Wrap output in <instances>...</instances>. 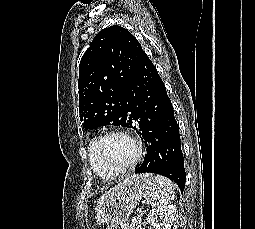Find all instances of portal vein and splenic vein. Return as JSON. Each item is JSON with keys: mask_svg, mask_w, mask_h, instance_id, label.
<instances>
[{"mask_svg": "<svg viewBox=\"0 0 255 229\" xmlns=\"http://www.w3.org/2000/svg\"><path fill=\"white\" fill-rule=\"evenodd\" d=\"M137 212H138L139 214H141V209H137Z\"/></svg>", "mask_w": 255, "mask_h": 229, "instance_id": "1", "label": "portal vein and splenic vein"}]
</instances>
